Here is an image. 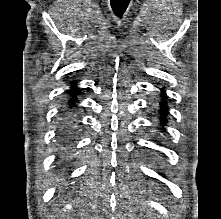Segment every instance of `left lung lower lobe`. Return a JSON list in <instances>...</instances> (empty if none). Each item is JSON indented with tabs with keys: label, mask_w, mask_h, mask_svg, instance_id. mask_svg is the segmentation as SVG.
<instances>
[{
	"label": "left lung lower lobe",
	"mask_w": 221,
	"mask_h": 219,
	"mask_svg": "<svg viewBox=\"0 0 221 219\" xmlns=\"http://www.w3.org/2000/svg\"><path fill=\"white\" fill-rule=\"evenodd\" d=\"M161 97H165V95L164 94H162L161 95ZM160 106H161V119H162V121H164V119H165V117H166V114H167V104H166V102L165 101H162L161 103H160Z\"/></svg>",
	"instance_id": "0a47b994"
}]
</instances>
